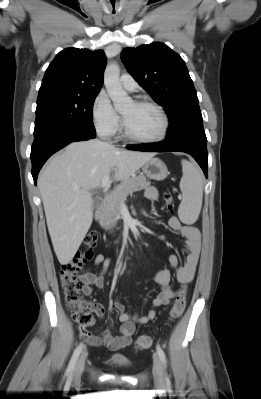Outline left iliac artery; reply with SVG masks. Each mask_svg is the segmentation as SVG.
I'll list each match as a JSON object with an SVG mask.
<instances>
[{"mask_svg": "<svg viewBox=\"0 0 261 399\" xmlns=\"http://www.w3.org/2000/svg\"><path fill=\"white\" fill-rule=\"evenodd\" d=\"M157 353L159 355V358H160L163 366L166 367V356H165L163 349L160 346H157Z\"/></svg>", "mask_w": 261, "mask_h": 399, "instance_id": "obj_1", "label": "left iliac artery"}]
</instances>
